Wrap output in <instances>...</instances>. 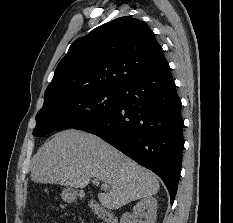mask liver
<instances>
[{"mask_svg": "<svg viewBox=\"0 0 233 223\" xmlns=\"http://www.w3.org/2000/svg\"><path fill=\"white\" fill-rule=\"evenodd\" d=\"M91 177L107 183L109 189L97 193L107 209H119L134 199L158 193L157 175L93 133L65 129L45 141L32 157L31 179L36 183H60L86 187Z\"/></svg>", "mask_w": 233, "mask_h": 223, "instance_id": "1", "label": "liver"}]
</instances>
